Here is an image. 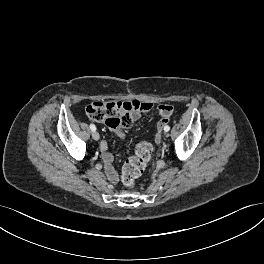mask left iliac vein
Masks as SVG:
<instances>
[{"mask_svg":"<svg viewBox=\"0 0 264 264\" xmlns=\"http://www.w3.org/2000/svg\"><path fill=\"white\" fill-rule=\"evenodd\" d=\"M165 137L168 139L170 137V134L169 133H166L165 134Z\"/></svg>","mask_w":264,"mask_h":264,"instance_id":"obj_1","label":"left iliac vein"}]
</instances>
